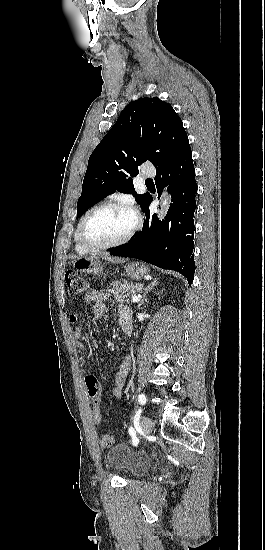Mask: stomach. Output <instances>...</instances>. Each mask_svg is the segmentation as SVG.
<instances>
[{
	"instance_id": "obj_1",
	"label": "stomach",
	"mask_w": 265,
	"mask_h": 550,
	"mask_svg": "<svg viewBox=\"0 0 265 550\" xmlns=\"http://www.w3.org/2000/svg\"><path fill=\"white\" fill-rule=\"evenodd\" d=\"M73 267L80 272L98 275L102 273L104 263L101 260L100 255H91L88 257H78L72 261ZM127 275L132 279H140L144 275L148 274L149 269L143 264L138 262L130 263L126 267Z\"/></svg>"
}]
</instances>
